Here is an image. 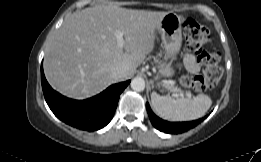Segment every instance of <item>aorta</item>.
<instances>
[{"mask_svg": "<svg viewBox=\"0 0 261 162\" xmlns=\"http://www.w3.org/2000/svg\"><path fill=\"white\" fill-rule=\"evenodd\" d=\"M131 88L136 92H141L145 89V81L141 77H135L131 83Z\"/></svg>", "mask_w": 261, "mask_h": 162, "instance_id": "762f6f07", "label": "aorta"}]
</instances>
